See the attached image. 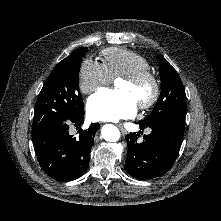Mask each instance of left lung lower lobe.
<instances>
[{
	"label": "left lung lower lobe",
	"instance_id": "1",
	"mask_svg": "<svg viewBox=\"0 0 221 221\" xmlns=\"http://www.w3.org/2000/svg\"><path fill=\"white\" fill-rule=\"evenodd\" d=\"M186 114H173L151 123L139 121L141 129H152L138 142L139 133L125 137L128 145L125 169L137 179H151L165 174L174 163L184 134Z\"/></svg>",
	"mask_w": 221,
	"mask_h": 221
}]
</instances>
